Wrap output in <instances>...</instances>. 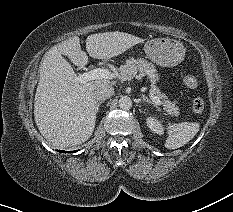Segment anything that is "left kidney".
<instances>
[{"label":"left kidney","mask_w":233,"mask_h":212,"mask_svg":"<svg viewBox=\"0 0 233 212\" xmlns=\"http://www.w3.org/2000/svg\"><path fill=\"white\" fill-rule=\"evenodd\" d=\"M147 126L150 128L151 131L158 135L164 134V128L160 121H158L154 117H148L146 119Z\"/></svg>","instance_id":"5707ae66"}]
</instances>
